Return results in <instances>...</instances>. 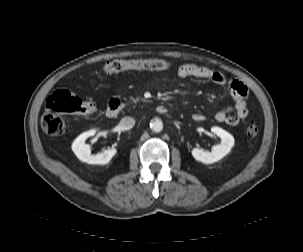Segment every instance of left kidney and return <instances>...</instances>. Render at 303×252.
Returning a JSON list of instances; mask_svg holds the SVG:
<instances>
[{
	"label": "left kidney",
	"instance_id": "1",
	"mask_svg": "<svg viewBox=\"0 0 303 252\" xmlns=\"http://www.w3.org/2000/svg\"><path fill=\"white\" fill-rule=\"evenodd\" d=\"M211 132L221 138L220 144L213 146L211 152L199 148L192 149V156L194 159L204 164H212L221 160L234 146V137L227 131L220 127L213 126Z\"/></svg>",
	"mask_w": 303,
	"mask_h": 252
}]
</instances>
